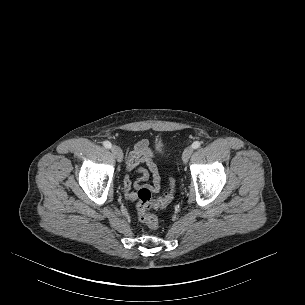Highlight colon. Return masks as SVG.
Here are the masks:
<instances>
[{"label":"colon","instance_id":"colon-1","mask_svg":"<svg viewBox=\"0 0 305 305\" xmlns=\"http://www.w3.org/2000/svg\"><path fill=\"white\" fill-rule=\"evenodd\" d=\"M176 185L173 179L169 181L168 191L160 198L153 199L149 188H141L137 192L136 211L138 219L151 231L159 228V219L156 215L149 212L150 209L163 208L169 205L175 195Z\"/></svg>","mask_w":305,"mask_h":305}]
</instances>
